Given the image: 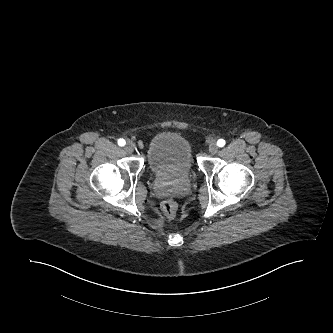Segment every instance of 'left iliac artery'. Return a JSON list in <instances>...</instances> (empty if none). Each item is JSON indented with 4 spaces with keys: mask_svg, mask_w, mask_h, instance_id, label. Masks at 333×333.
I'll list each match as a JSON object with an SVG mask.
<instances>
[{
    "mask_svg": "<svg viewBox=\"0 0 333 333\" xmlns=\"http://www.w3.org/2000/svg\"><path fill=\"white\" fill-rule=\"evenodd\" d=\"M217 145H218L219 147H223V146L225 145V140H224V139H219V140L217 141Z\"/></svg>",
    "mask_w": 333,
    "mask_h": 333,
    "instance_id": "44dca946",
    "label": "left iliac artery"
}]
</instances>
